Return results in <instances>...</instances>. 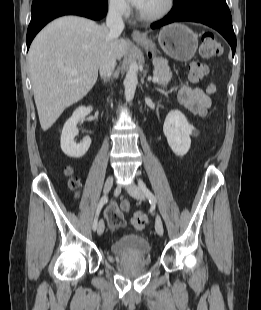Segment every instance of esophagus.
I'll list each match as a JSON object with an SVG mask.
<instances>
[{
    "label": "esophagus",
    "instance_id": "obj_1",
    "mask_svg": "<svg viewBox=\"0 0 261 310\" xmlns=\"http://www.w3.org/2000/svg\"><path fill=\"white\" fill-rule=\"evenodd\" d=\"M132 38L134 40H143L145 39V36L139 30L135 29L132 32Z\"/></svg>",
    "mask_w": 261,
    "mask_h": 310
}]
</instances>
